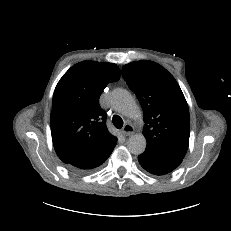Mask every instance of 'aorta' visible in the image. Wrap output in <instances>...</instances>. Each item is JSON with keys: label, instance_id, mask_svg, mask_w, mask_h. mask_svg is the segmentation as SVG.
<instances>
[{"label": "aorta", "instance_id": "1", "mask_svg": "<svg viewBox=\"0 0 231 231\" xmlns=\"http://www.w3.org/2000/svg\"><path fill=\"white\" fill-rule=\"evenodd\" d=\"M112 107L119 113L130 118H142V112L133 96L124 89L114 90L111 97ZM146 138L142 134L132 135L128 142V150L134 155L142 154L146 149Z\"/></svg>", "mask_w": 231, "mask_h": 231}]
</instances>
